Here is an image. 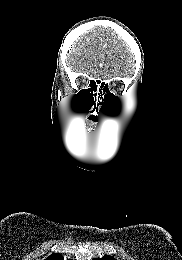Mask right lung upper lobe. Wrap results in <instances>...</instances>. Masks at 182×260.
I'll return each mask as SVG.
<instances>
[{
    "label": "right lung upper lobe",
    "mask_w": 182,
    "mask_h": 260,
    "mask_svg": "<svg viewBox=\"0 0 182 260\" xmlns=\"http://www.w3.org/2000/svg\"><path fill=\"white\" fill-rule=\"evenodd\" d=\"M45 260H64V258L59 253H53L49 257H47ZM68 260H71V259H68Z\"/></svg>",
    "instance_id": "1"
}]
</instances>
